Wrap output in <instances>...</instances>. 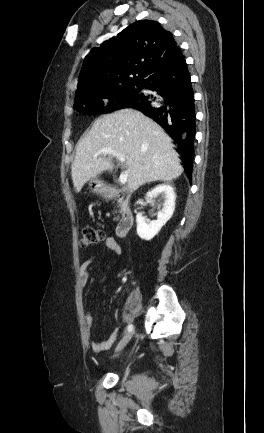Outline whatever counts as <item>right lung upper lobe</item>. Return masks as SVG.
<instances>
[{
  "mask_svg": "<svg viewBox=\"0 0 264 433\" xmlns=\"http://www.w3.org/2000/svg\"><path fill=\"white\" fill-rule=\"evenodd\" d=\"M173 35L157 21L140 20L86 56L76 99L127 84H139L155 67L179 52Z\"/></svg>",
  "mask_w": 264,
  "mask_h": 433,
  "instance_id": "obj_1",
  "label": "right lung upper lobe"
}]
</instances>
